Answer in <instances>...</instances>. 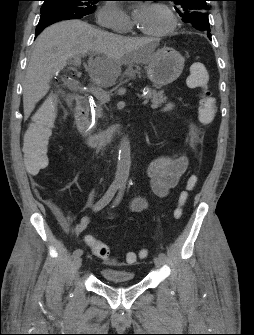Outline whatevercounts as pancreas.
Returning <instances> with one entry per match:
<instances>
[{
	"label": "pancreas",
	"instance_id": "cf45deb5",
	"mask_svg": "<svg viewBox=\"0 0 254 335\" xmlns=\"http://www.w3.org/2000/svg\"><path fill=\"white\" fill-rule=\"evenodd\" d=\"M147 99L151 100V108L152 109H156L158 107H160L163 103L166 102L167 97L164 95V92L159 90H150L147 95H146ZM103 116V112H102V104H99L98 109H97V117H102Z\"/></svg>",
	"mask_w": 254,
	"mask_h": 335
}]
</instances>
